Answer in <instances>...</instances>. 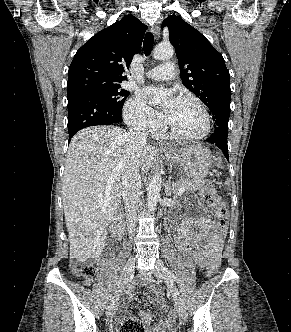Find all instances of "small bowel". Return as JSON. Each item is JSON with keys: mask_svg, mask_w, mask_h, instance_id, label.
I'll return each mask as SVG.
<instances>
[{"mask_svg": "<svg viewBox=\"0 0 291 332\" xmlns=\"http://www.w3.org/2000/svg\"><path fill=\"white\" fill-rule=\"evenodd\" d=\"M225 231L218 228L207 213L200 214L192 220H182L177 226L175 242L179 250L194 260L199 266H205L207 260L219 258L223 244ZM132 288L129 289V295H132ZM149 300L158 303L162 311H168L169 306L163 300L161 291L152 286L149 292ZM140 322L148 324L150 315L147 312L140 313ZM172 321L162 318L148 332H171Z\"/></svg>", "mask_w": 291, "mask_h": 332, "instance_id": "c3829d8e", "label": "small bowel"}]
</instances>
